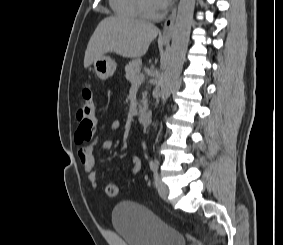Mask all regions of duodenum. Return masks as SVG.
<instances>
[{
  "label": "duodenum",
  "instance_id": "obj_1",
  "mask_svg": "<svg viewBox=\"0 0 283 245\" xmlns=\"http://www.w3.org/2000/svg\"><path fill=\"white\" fill-rule=\"evenodd\" d=\"M152 115L150 111L143 110L138 114V120L142 125H148L151 122Z\"/></svg>",
  "mask_w": 283,
  "mask_h": 245
}]
</instances>
